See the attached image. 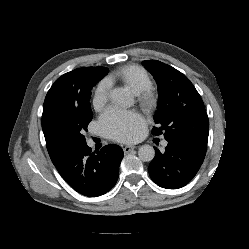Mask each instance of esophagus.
<instances>
[{
    "mask_svg": "<svg viewBox=\"0 0 249 249\" xmlns=\"http://www.w3.org/2000/svg\"><path fill=\"white\" fill-rule=\"evenodd\" d=\"M136 147L135 146H124L123 147V151L125 154L131 152L132 150H134Z\"/></svg>",
    "mask_w": 249,
    "mask_h": 249,
    "instance_id": "esophagus-1",
    "label": "esophagus"
}]
</instances>
